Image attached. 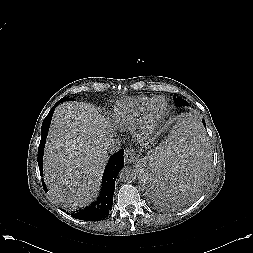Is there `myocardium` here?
Here are the masks:
<instances>
[{"instance_id": "obj_1", "label": "myocardium", "mask_w": 253, "mask_h": 253, "mask_svg": "<svg viewBox=\"0 0 253 253\" xmlns=\"http://www.w3.org/2000/svg\"><path fill=\"white\" fill-rule=\"evenodd\" d=\"M160 99L164 100L166 103L165 110L161 115H154L152 113L153 105L155 104L156 101ZM168 111H169V105H168L167 100L164 97L158 96L151 99V101L147 104L142 114L141 120L138 124L140 131L147 132L156 128L166 118Z\"/></svg>"}]
</instances>
